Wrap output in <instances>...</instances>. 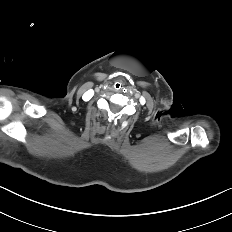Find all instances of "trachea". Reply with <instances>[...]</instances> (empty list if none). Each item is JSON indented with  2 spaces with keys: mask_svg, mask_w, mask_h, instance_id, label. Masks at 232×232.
I'll list each match as a JSON object with an SVG mask.
<instances>
[{
  "mask_svg": "<svg viewBox=\"0 0 232 232\" xmlns=\"http://www.w3.org/2000/svg\"><path fill=\"white\" fill-rule=\"evenodd\" d=\"M114 89L117 91L122 90V88L124 87L123 83L120 81H116L113 85Z\"/></svg>",
  "mask_w": 232,
  "mask_h": 232,
  "instance_id": "3493384b",
  "label": "trachea"
}]
</instances>
